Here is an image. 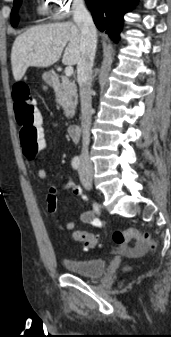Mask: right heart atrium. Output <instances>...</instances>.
I'll return each mask as SVG.
<instances>
[{"label": "right heart atrium", "mask_w": 171, "mask_h": 337, "mask_svg": "<svg viewBox=\"0 0 171 337\" xmlns=\"http://www.w3.org/2000/svg\"><path fill=\"white\" fill-rule=\"evenodd\" d=\"M83 0H44L43 10L52 19H62L79 8Z\"/></svg>", "instance_id": "obj_1"}]
</instances>
